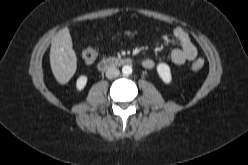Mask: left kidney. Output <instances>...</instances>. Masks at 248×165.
I'll return each mask as SVG.
<instances>
[{
  "label": "left kidney",
  "instance_id": "left-kidney-1",
  "mask_svg": "<svg viewBox=\"0 0 248 165\" xmlns=\"http://www.w3.org/2000/svg\"><path fill=\"white\" fill-rule=\"evenodd\" d=\"M157 72L162 81L169 84L172 80L170 67L165 63H160L157 65Z\"/></svg>",
  "mask_w": 248,
  "mask_h": 165
}]
</instances>
